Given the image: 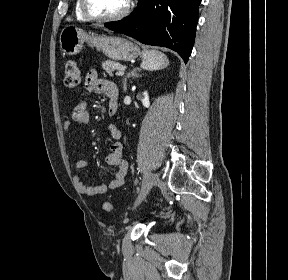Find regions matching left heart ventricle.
<instances>
[{"label":"left heart ventricle","mask_w":288,"mask_h":280,"mask_svg":"<svg viewBox=\"0 0 288 280\" xmlns=\"http://www.w3.org/2000/svg\"><path fill=\"white\" fill-rule=\"evenodd\" d=\"M91 8L101 15H114L127 4L128 0H89Z\"/></svg>","instance_id":"1"}]
</instances>
